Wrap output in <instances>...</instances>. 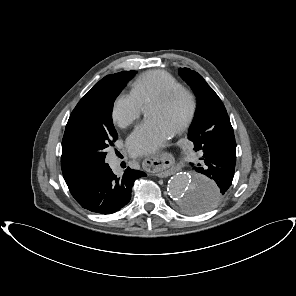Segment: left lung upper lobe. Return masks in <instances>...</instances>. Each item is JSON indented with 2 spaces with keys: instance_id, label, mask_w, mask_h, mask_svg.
<instances>
[{
  "instance_id": "5c2ea615",
  "label": "left lung upper lobe",
  "mask_w": 296,
  "mask_h": 296,
  "mask_svg": "<svg viewBox=\"0 0 296 296\" xmlns=\"http://www.w3.org/2000/svg\"><path fill=\"white\" fill-rule=\"evenodd\" d=\"M179 74L193 87L197 95V110L188 138L194 143L196 152L202 151L205 144L204 133L211 130L220 121L228 118L227 111L218 95L200 74L189 68H180ZM184 210L194 212L193 201L188 203Z\"/></svg>"
}]
</instances>
